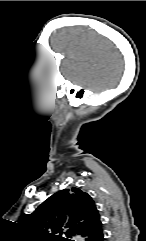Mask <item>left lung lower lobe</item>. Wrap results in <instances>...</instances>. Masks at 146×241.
Returning a JSON list of instances; mask_svg holds the SVG:
<instances>
[{
  "mask_svg": "<svg viewBox=\"0 0 146 241\" xmlns=\"http://www.w3.org/2000/svg\"><path fill=\"white\" fill-rule=\"evenodd\" d=\"M82 236L85 237V241H103V231L101 221H97L94 225L87 228Z\"/></svg>",
  "mask_w": 146,
  "mask_h": 241,
  "instance_id": "0a47b994",
  "label": "left lung lower lobe"
}]
</instances>
